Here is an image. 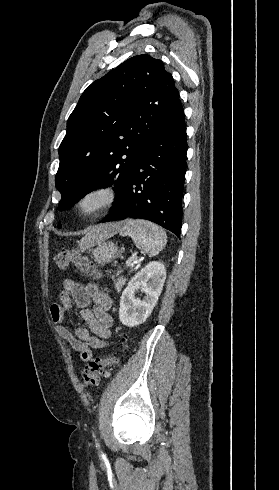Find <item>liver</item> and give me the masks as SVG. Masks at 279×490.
<instances>
[{"label":"liver","instance_id":"liver-1","mask_svg":"<svg viewBox=\"0 0 279 490\" xmlns=\"http://www.w3.org/2000/svg\"><path fill=\"white\" fill-rule=\"evenodd\" d=\"M123 226V222H118V224H100V226H94L86 236L82 238L81 242H78L82 252L94 246V242H100V240H106L110 238L113 234L120 232Z\"/></svg>","mask_w":279,"mask_h":490}]
</instances>
